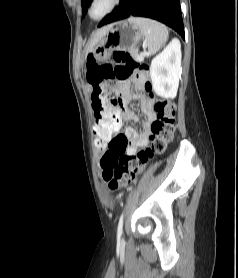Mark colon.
<instances>
[{
  "label": "colon",
  "mask_w": 238,
  "mask_h": 278,
  "mask_svg": "<svg viewBox=\"0 0 238 278\" xmlns=\"http://www.w3.org/2000/svg\"><path fill=\"white\" fill-rule=\"evenodd\" d=\"M149 67L137 63L125 51L113 53V63L99 64L93 55L87 62L86 77L92 87L93 109L97 124H93V135L99 136V141H94L95 149H106L100 164L102 175L110 190H118L130 184L155 155L161 154L174 135V122L176 108L168 100L157 99L153 109L156 120L151 124L150 144L147 148L135 155L125 153L129 144H108L104 137L119 133L122 125V103L119 97L117 84L135 76L143 81L145 91L150 98L155 99L153 85L148 79Z\"/></svg>",
  "instance_id": "colon-1"
}]
</instances>
